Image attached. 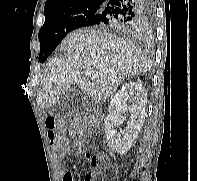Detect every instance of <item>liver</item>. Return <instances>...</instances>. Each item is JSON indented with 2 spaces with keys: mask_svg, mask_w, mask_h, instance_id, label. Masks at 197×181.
I'll return each instance as SVG.
<instances>
[{
  "mask_svg": "<svg viewBox=\"0 0 197 181\" xmlns=\"http://www.w3.org/2000/svg\"><path fill=\"white\" fill-rule=\"evenodd\" d=\"M63 57L48 63L37 103L41 108L55 105L73 84H79L95 100L111 97L127 76L147 72L152 62L132 41L100 30H78L60 44ZM96 72L99 77L83 75Z\"/></svg>",
  "mask_w": 197,
  "mask_h": 181,
  "instance_id": "6515ba94",
  "label": "liver"
}]
</instances>
